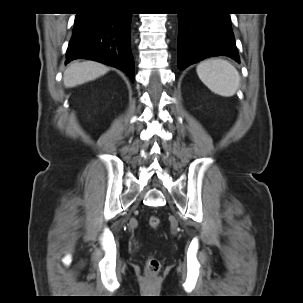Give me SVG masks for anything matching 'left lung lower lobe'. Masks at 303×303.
Returning a JSON list of instances; mask_svg holds the SVG:
<instances>
[{"label": "left lung lower lobe", "mask_w": 303, "mask_h": 303, "mask_svg": "<svg viewBox=\"0 0 303 303\" xmlns=\"http://www.w3.org/2000/svg\"><path fill=\"white\" fill-rule=\"evenodd\" d=\"M177 50L180 70L218 55L240 62L227 13L178 14Z\"/></svg>", "instance_id": "obj_1"}]
</instances>
